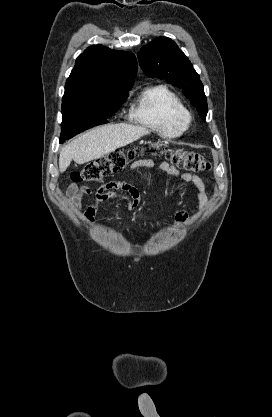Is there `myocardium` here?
Returning <instances> with one entry per match:
<instances>
[{
    "label": "myocardium",
    "instance_id": "myocardium-1",
    "mask_svg": "<svg viewBox=\"0 0 272 417\" xmlns=\"http://www.w3.org/2000/svg\"><path fill=\"white\" fill-rule=\"evenodd\" d=\"M191 122H192V116L189 112H186L183 117V123L187 127L191 124Z\"/></svg>",
    "mask_w": 272,
    "mask_h": 417
}]
</instances>
